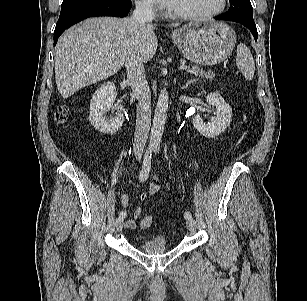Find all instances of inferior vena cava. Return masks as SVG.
<instances>
[{"label": "inferior vena cava", "mask_w": 307, "mask_h": 301, "mask_svg": "<svg viewBox=\"0 0 307 301\" xmlns=\"http://www.w3.org/2000/svg\"><path fill=\"white\" fill-rule=\"evenodd\" d=\"M154 17L150 3H136L132 20L138 25L139 31H142L146 24L151 23ZM125 66L132 93L138 100L133 151L136 156L140 157L151 126V92L146 80L143 62L135 47L127 51Z\"/></svg>", "instance_id": "obj_1"}]
</instances>
